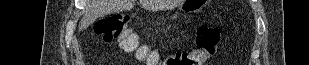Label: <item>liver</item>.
<instances>
[{"mask_svg": "<svg viewBox=\"0 0 309 65\" xmlns=\"http://www.w3.org/2000/svg\"><path fill=\"white\" fill-rule=\"evenodd\" d=\"M143 8L157 11L168 6L166 1L140 0ZM134 0H86V10L79 24V31L87 29L97 18L131 9Z\"/></svg>", "mask_w": 309, "mask_h": 65, "instance_id": "obj_1", "label": "liver"}]
</instances>
